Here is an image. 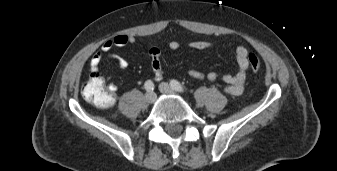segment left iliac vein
Wrapping results in <instances>:
<instances>
[{"label":"left iliac vein","instance_id":"left-iliac-vein-1","mask_svg":"<svg viewBox=\"0 0 337 171\" xmlns=\"http://www.w3.org/2000/svg\"><path fill=\"white\" fill-rule=\"evenodd\" d=\"M159 90L165 94H175V91L169 86V84L162 82L159 85Z\"/></svg>","mask_w":337,"mask_h":171}]
</instances>
